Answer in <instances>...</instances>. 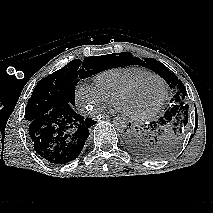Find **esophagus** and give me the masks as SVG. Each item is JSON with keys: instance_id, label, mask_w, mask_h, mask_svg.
<instances>
[{"instance_id": "1", "label": "esophagus", "mask_w": 213, "mask_h": 213, "mask_svg": "<svg viewBox=\"0 0 213 213\" xmlns=\"http://www.w3.org/2000/svg\"><path fill=\"white\" fill-rule=\"evenodd\" d=\"M100 116H101V118H103V119H108V118L114 117L115 115L102 114V115H100Z\"/></svg>"}]
</instances>
